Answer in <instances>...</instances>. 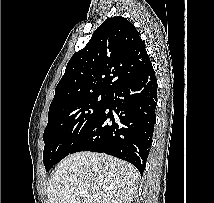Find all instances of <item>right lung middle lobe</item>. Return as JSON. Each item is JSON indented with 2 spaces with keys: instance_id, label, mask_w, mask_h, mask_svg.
Here are the masks:
<instances>
[{
  "instance_id": "dd1d6c3e",
  "label": "right lung middle lobe",
  "mask_w": 214,
  "mask_h": 203,
  "mask_svg": "<svg viewBox=\"0 0 214 203\" xmlns=\"http://www.w3.org/2000/svg\"><path fill=\"white\" fill-rule=\"evenodd\" d=\"M107 100L108 93H94L49 111L43 135V162L46 171L70 154L90 130Z\"/></svg>"
}]
</instances>
